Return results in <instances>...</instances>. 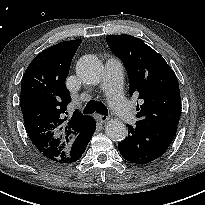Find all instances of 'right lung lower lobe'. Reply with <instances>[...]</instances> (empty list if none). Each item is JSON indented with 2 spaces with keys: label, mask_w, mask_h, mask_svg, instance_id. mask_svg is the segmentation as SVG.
Returning <instances> with one entry per match:
<instances>
[{
  "label": "right lung lower lobe",
  "mask_w": 205,
  "mask_h": 205,
  "mask_svg": "<svg viewBox=\"0 0 205 205\" xmlns=\"http://www.w3.org/2000/svg\"><path fill=\"white\" fill-rule=\"evenodd\" d=\"M96 129L95 121L90 118V123L70 144L67 155V162L72 163L77 161L84 153L90 139L92 138ZM64 164V163H63Z\"/></svg>",
  "instance_id": "right-lung-lower-lobe-1"
}]
</instances>
